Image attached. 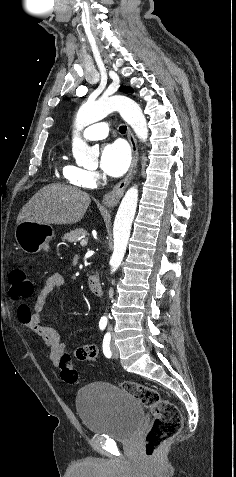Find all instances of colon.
<instances>
[{
  "mask_svg": "<svg viewBox=\"0 0 236 477\" xmlns=\"http://www.w3.org/2000/svg\"><path fill=\"white\" fill-rule=\"evenodd\" d=\"M11 283L10 296L15 300H26L34 296L36 284L30 279L23 267H14L9 274ZM29 306L21 304L19 311L28 309ZM74 356L81 361L94 362L90 345L79 346ZM71 355L64 354L60 359L61 378L68 384H76L79 379L78 372L70 365ZM121 388L135 397L153 414V423L145 439V451L148 457H153L156 452L174 438L182 428V415L176 405L161 397L160 393L145 385L133 381H123Z\"/></svg>",
  "mask_w": 236,
  "mask_h": 477,
  "instance_id": "5ec220e1",
  "label": "colon"
}]
</instances>
